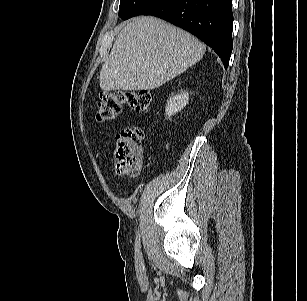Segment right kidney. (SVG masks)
Wrapping results in <instances>:
<instances>
[{
	"instance_id": "1",
	"label": "right kidney",
	"mask_w": 307,
	"mask_h": 301,
	"mask_svg": "<svg viewBox=\"0 0 307 301\" xmlns=\"http://www.w3.org/2000/svg\"><path fill=\"white\" fill-rule=\"evenodd\" d=\"M189 95L188 92H181L178 95H175L167 101L166 107H165V115L169 119L171 116L176 114L178 111L183 109L186 104L188 103Z\"/></svg>"
}]
</instances>
